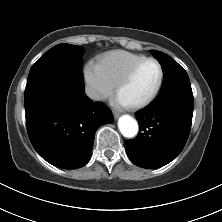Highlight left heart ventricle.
<instances>
[{
  "label": "left heart ventricle",
  "instance_id": "b2bd125f",
  "mask_svg": "<svg viewBox=\"0 0 222 222\" xmlns=\"http://www.w3.org/2000/svg\"><path fill=\"white\" fill-rule=\"evenodd\" d=\"M159 78V70L155 63L143 64L135 73L132 80L119 91L129 104L145 100L154 90Z\"/></svg>",
  "mask_w": 222,
  "mask_h": 222
}]
</instances>
